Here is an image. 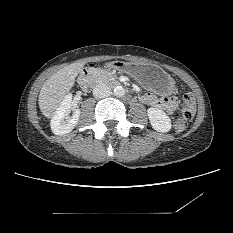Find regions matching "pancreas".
Wrapping results in <instances>:
<instances>
[{
	"mask_svg": "<svg viewBox=\"0 0 233 233\" xmlns=\"http://www.w3.org/2000/svg\"><path fill=\"white\" fill-rule=\"evenodd\" d=\"M95 76L97 77L100 83H109L115 81L116 77L111 72L104 69H96Z\"/></svg>",
	"mask_w": 233,
	"mask_h": 233,
	"instance_id": "cf45deb5",
	"label": "pancreas"
}]
</instances>
